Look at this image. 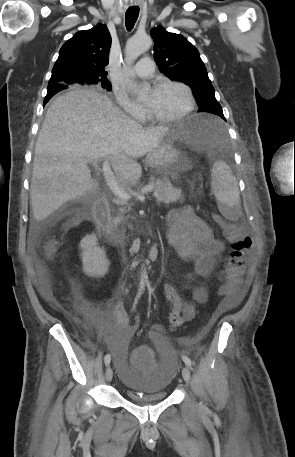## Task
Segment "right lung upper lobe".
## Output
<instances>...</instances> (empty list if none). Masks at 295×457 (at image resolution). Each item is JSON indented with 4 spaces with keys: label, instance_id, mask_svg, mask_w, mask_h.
Instances as JSON below:
<instances>
[{
    "label": "right lung upper lobe",
    "instance_id": "cb5924a9",
    "mask_svg": "<svg viewBox=\"0 0 295 457\" xmlns=\"http://www.w3.org/2000/svg\"><path fill=\"white\" fill-rule=\"evenodd\" d=\"M111 36L106 25L77 32L61 47L48 86L88 84L91 79L107 80L105 66Z\"/></svg>",
    "mask_w": 295,
    "mask_h": 457
}]
</instances>
